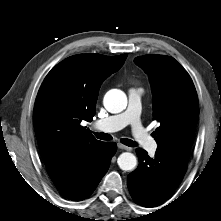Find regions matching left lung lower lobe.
Instances as JSON below:
<instances>
[{"label": "left lung lower lobe", "mask_w": 221, "mask_h": 221, "mask_svg": "<svg viewBox=\"0 0 221 221\" xmlns=\"http://www.w3.org/2000/svg\"><path fill=\"white\" fill-rule=\"evenodd\" d=\"M138 168L128 175V188L132 198L144 207L164 202L180 184L187 161L174 155L156 151L150 158L145 150L136 149Z\"/></svg>", "instance_id": "1"}]
</instances>
